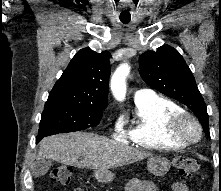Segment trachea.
<instances>
[{"label": "trachea", "mask_w": 221, "mask_h": 191, "mask_svg": "<svg viewBox=\"0 0 221 191\" xmlns=\"http://www.w3.org/2000/svg\"><path fill=\"white\" fill-rule=\"evenodd\" d=\"M122 23H125V24H127V23H129V21H122Z\"/></svg>", "instance_id": "3493384b"}]
</instances>
